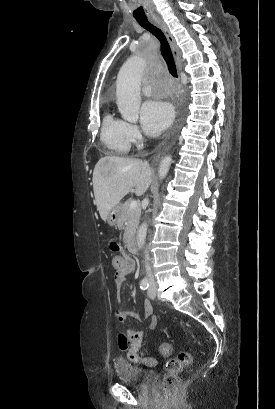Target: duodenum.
<instances>
[{
	"label": "duodenum",
	"mask_w": 275,
	"mask_h": 409,
	"mask_svg": "<svg viewBox=\"0 0 275 409\" xmlns=\"http://www.w3.org/2000/svg\"><path fill=\"white\" fill-rule=\"evenodd\" d=\"M127 249L129 254L135 255L137 253V246L133 239H130L127 243Z\"/></svg>",
	"instance_id": "obj_1"
}]
</instances>
